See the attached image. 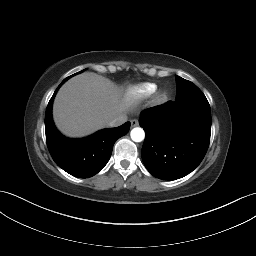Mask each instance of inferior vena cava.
<instances>
[{"label": "inferior vena cava", "instance_id": "obj_1", "mask_svg": "<svg viewBox=\"0 0 256 256\" xmlns=\"http://www.w3.org/2000/svg\"><path fill=\"white\" fill-rule=\"evenodd\" d=\"M126 121H127V116L125 114H121V115L115 117L113 120H111L108 123V126L109 127H117V126L122 125Z\"/></svg>", "mask_w": 256, "mask_h": 256}]
</instances>
